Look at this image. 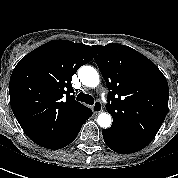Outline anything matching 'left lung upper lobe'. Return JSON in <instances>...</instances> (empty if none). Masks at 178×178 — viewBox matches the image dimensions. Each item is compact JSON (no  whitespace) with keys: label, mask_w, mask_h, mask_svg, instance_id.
<instances>
[{"label":"left lung upper lobe","mask_w":178,"mask_h":178,"mask_svg":"<svg viewBox=\"0 0 178 178\" xmlns=\"http://www.w3.org/2000/svg\"><path fill=\"white\" fill-rule=\"evenodd\" d=\"M95 61L109 89L110 128L149 144L168 110L169 88L159 68L138 51L116 43L93 46Z\"/></svg>","instance_id":"left-lung-upper-lobe-1"}]
</instances>
